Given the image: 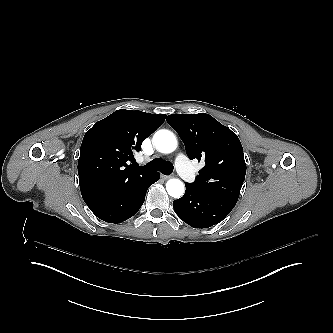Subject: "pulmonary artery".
<instances>
[{
	"instance_id": "pulmonary-artery-1",
	"label": "pulmonary artery",
	"mask_w": 333,
	"mask_h": 333,
	"mask_svg": "<svg viewBox=\"0 0 333 333\" xmlns=\"http://www.w3.org/2000/svg\"><path fill=\"white\" fill-rule=\"evenodd\" d=\"M174 161L176 163V170L179 172L180 176L185 178L189 183L196 181L197 176L194 173L193 167L188 162L187 158L181 154L175 156Z\"/></svg>"
}]
</instances>
